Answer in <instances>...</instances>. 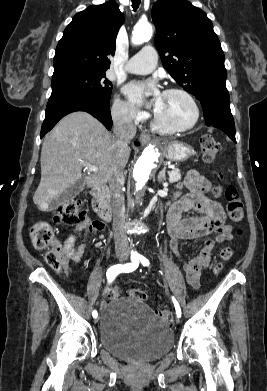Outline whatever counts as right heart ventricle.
<instances>
[{"instance_id": "1", "label": "right heart ventricle", "mask_w": 267, "mask_h": 391, "mask_svg": "<svg viewBox=\"0 0 267 391\" xmlns=\"http://www.w3.org/2000/svg\"><path fill=\"white\" fill-rule=\"evenodd\" d=\"M157 129H159L160 131H163V132H167V131H165V130H163V129H160V128H158V127H157Z\"/></svg>"}]
</instances>
